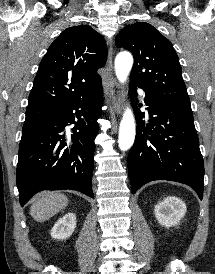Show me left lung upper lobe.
<instances>
[{
    "label": "left lung upper lobe",
    "instance_id": "5c2ea615",
    "mask_svg": "<svg viewBox=\"0 0 215 274\" xmlns=\"http://www.w3.org/2000/svg\"><path fill=\"white\" fill-rule=\"evenodd\" d=\"M115 41L118 48L123 47L134 56L130 83L191 108L178 56L171 42L157 29L149 23L136 22L124 27Z\"/></svg>",
    "mask_w": 215,
    "mask_h": 274
}]
</instances>
